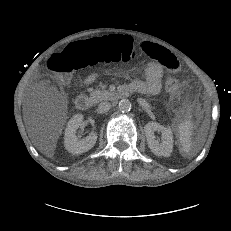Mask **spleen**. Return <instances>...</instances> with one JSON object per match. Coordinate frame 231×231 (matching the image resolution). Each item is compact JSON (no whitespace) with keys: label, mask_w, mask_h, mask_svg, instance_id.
I'll use <instances>...</instances> for the list:
<instances>
[{"label":"spleen","mask_w":231,"mask_h":231,"mask_svg":"<svg viewBox=\"0 0 231 231\" xmlns=\"http://www.w3.org/2000/svg\"><path fill=\"white\" fill-rule=\"evenodd\" d=\"M190 114L191 109H189L185 120L178 125V137L181 145V151L185 154H189L192 147L191 137L193 134V124Z\"/></svg>","instance_id":"spleen-1"}]
</instances>
